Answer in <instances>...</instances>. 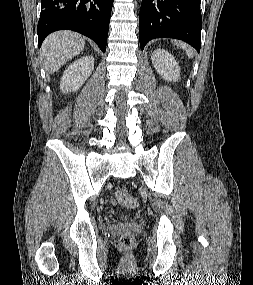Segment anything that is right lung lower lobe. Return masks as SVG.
Listing matches in <instances>:
<instances>
[{
  "mask_svg": "<svg viewBox=\"0 0 253 285\" xmlns=\"http://www.w3.org/2000/svg\"><path fill=\"white\" fill-rule=\"evenodd\" d=\"M38 46L50 33L73 30L94 40L105 52L113 0H41Z\"/></svg>",
  "mask_w": 253,
  "mask_h": 285,
  "instance_id": "right-lung-lower-lobe-1",
  "label": "right lung lower lobe"
}]
</instances>
